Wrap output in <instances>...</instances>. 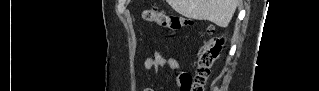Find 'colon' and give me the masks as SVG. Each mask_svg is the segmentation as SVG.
<instances>
[{
    "instance_id": "colon-1",
    "label": "colon",
    "mask_w": 319,
    "mask_h": 91,
    "mask_svg": "<svg viewBox=\"0 0 319 91\" xmlns=\"http://www.w3.org/2000/svg\"><path fill=\"white\" fill-rule=\"evenodd\" d=\"M145 21L158 26L166 32L174 35L188 25L184 17L167 12L159 7H151L143 12ZM224 44V37L210 35L203 42L197 52V71L194 78L184 74L180 76V91H203L206 80L211 73L216 60L220 56Z\"/></svg>"
}]
</instances>
